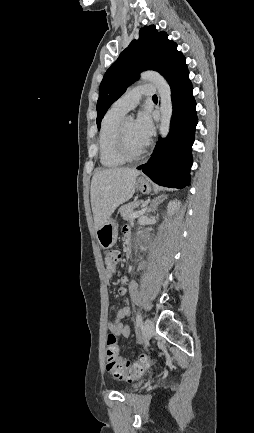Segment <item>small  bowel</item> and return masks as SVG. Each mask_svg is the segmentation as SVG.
<instances>
[{
	"instance_id": "1",
	"label": "small bowel",
	"mask_w": 254,
	"mask_h": 433,
	"mask_svg": "<svg viewBox=\"0 0 254 433\" xmlns=\"http://www.w3.org/2000/svg\"><path fill=\"white\" fill-rule=\"evenodd\" d=\"M123 233H124L125 239L127 241V239L130 237L129 228L125 227L123 230ZM111 276H112L111 274H107V276H106L107 282L109 281ZM127 281H128L127 277H123L121 280V286L118 289V293L121 296H125L127 293V288H126ZM129 315H130V307H129V304L126 302L117 311L115 320L114 321H108L106 323L107 330L110 333H113L114 335L122 336L124 339L129 338V336L131 334V330L127 324H124L122 322V320L125 318H128Z\"/></svg>"
}]
</instances>
